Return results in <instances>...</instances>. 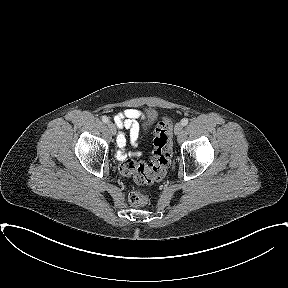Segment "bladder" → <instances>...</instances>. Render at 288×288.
I'll return each mask as SVG.
<instances>
[{"label": "bladder", "mask_w": 288, "mask_h": 288, "mask_svg": "<svg viewBox=\"0 0 288 288\" xmlns=\"http://www.w3.org/2000/svg\"><path fill=\"white\" fill-rule=\"evenodd\" d=\"M157 115H158V113H157L156 110H154V109H149V110L147 111V123H148L149 125H151V124L156 120Z\"/></svg>", "instance_id": "31cf9c89"}]
</instances>
